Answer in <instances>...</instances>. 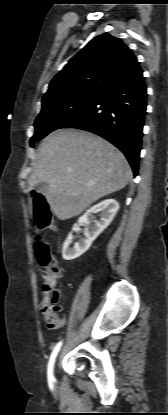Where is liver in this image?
I'll list each match as a JSON object with an SVG mask.
<instances>
[{
  "instance_id": "liver-1",
  "label": "liver",
  "mask_w": 168,
  "mask_h": 415,
  "mask_svg": "<svg viewBox=\"0 0 168 415\" xmlns=\"http://www.w3.org/2000/svg\"><path fill=\"white\" fill-rule=\"evenodd\" d=\"M132 178L121 151L86 131L60 129L40 144L28 184L49 185L48 204L59 220L81 214L98 199L123 189Z\"/></svg>"
}]
</instances>
